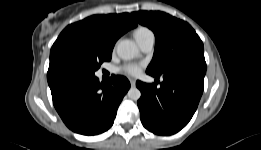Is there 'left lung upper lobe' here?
Instances as JSON below:
<instances>
[{
    "mask_svg": "<svg viewBox=\"0 0 261 150\" xmlns=\"http://www.w3.org/2000/svg\"><path fill=\"white\" fill-rule=\"evenodd\" d=\"M132 16L155 34L154 56L147 72L161 75L188 60L205 63L203 43L187 22L160 11H138Z\"/></svg>",
    "mask_w": 261,
    "mask_h": 150,
    "instance_id": "5c2ea615",
    "label": "left lung upper lobe"
}]
</instances>
